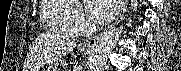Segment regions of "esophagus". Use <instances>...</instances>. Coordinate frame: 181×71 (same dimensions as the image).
Returning a JSON list of instances; mask_svg holds the SVG:
<instances>
[{
    "mask_svg": "<svg viewBox=\"0 0 181 71\" xmlns=\"http://www.w3.org/2000/svg\"><path fill=\"white\" fill-rule=\"evenodd\" d=\"M128 2H129L128 0H125L123 2V5L116 19L107 28H105L100 34L85 40L83 45L85 47L94 48L98 44L100 39L104 36V34L107 33L109 30H111L113 27H115L123 19L126 13Z\"/></svg>",
    "mask_w": 181,
    "mask_h": 71,
    "instance_id": "34e87169",
    "label": "esophagus"
}]
</instances>
